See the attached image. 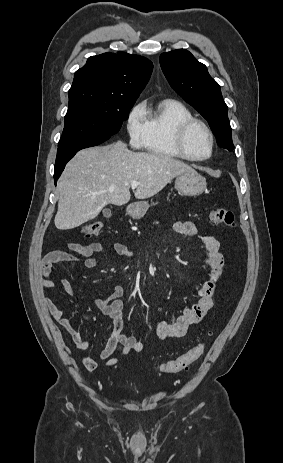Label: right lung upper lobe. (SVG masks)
I'll return each instance as SVG.
<instances>
[{
    "mask_svg": "<svg viewBox=\"0 0 283 463\" xmlns=\"http://www.w3.org/2000/svg\"><path fill=\"white\" fill-rule=\"evenodd\" d=\"M152 69L153 64L148 59L124 52L91 56L75 72L69 94L82 92L136 101Z\"/></svg>",
    "mask_w": 283,
    "mask_h": 463,
    "instance_id": "obj_1",
    "label": "right lung upper lobe"
}]
</instances>
